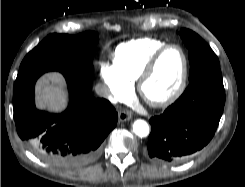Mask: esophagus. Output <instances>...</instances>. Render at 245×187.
I'll return each instance as SVG.
<instances>
[{
  "mask_svg": "<svg viewBox=\"0 0 245 187\" xmlns=\"http://www.w3.org/2000/svg\"><path fill=\"white\" fill-rule=\"evenodd\" d=\"M118 117L120 122H125L132 118V114L128 111H120Z\"/></svg>",
  "mask_w": 245,
  "mask_h": 187,
  "instance_id": "1",
  "label": "esophagus"
}]
</instances>
